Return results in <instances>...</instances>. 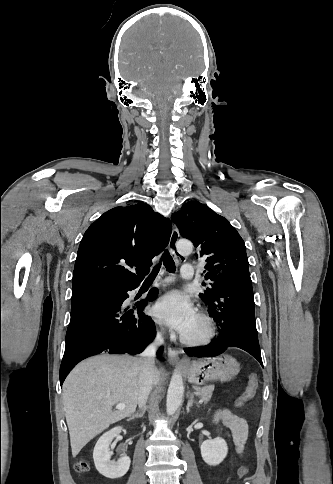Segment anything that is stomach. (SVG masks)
I'll use <instances>...</instances> for the list:
<instances>
[{
  "mask_svg": "<svg viewBox=\"0 0 333 484\" xmlns=\"http://www.w3.org/2000/svg\"><path fill=\"white\" fill-rule=\"evenodd\" d=\"M240 371V364L228 354L193 360L187 364L188 380L195 385L229 381Z\"/></svg>",
  "mask_w": 333,
  "mask_h": 484,
  "instance_id": "0dacf381",
  "label": "stomach"
}]
</instances>
